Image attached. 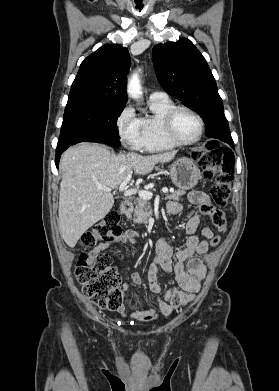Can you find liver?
Returning a JSON list of instances; mask_svg holds the SVG:
<instances>
[{
  "instance_id": "liver-1",
  "label": "liver",
  "mask_w": 279,
  "mask_h": 391,
  "mask_svg": "<svg viewBox=\"0 0 279 391\" xmlns=\"http://www.w3.org/2000/svg\"><path fill=\"white\" fill-rule=\"evenodd\" d=\"M176 152L142 156L116 155L105 146L81 143L64 152L60 161L59 196L61 237L73 248L81 236L112 209L113 195L99 186L115 188L133 171L150 173L157 163L170 162Z\"/></svg>"
}]
</instances>
